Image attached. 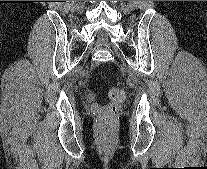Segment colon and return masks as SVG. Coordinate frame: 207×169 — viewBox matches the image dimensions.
<instances>
[{"label":"colon","mask_w":207,"mask_h":169,"mask_svg":"<svg viewBox=\"0 0 207 169\" xmlns=\"http://www.w3.org/2000/svg\"><path fill=\"white\" fill-rule=\"evenodd\" d=\"M124 91L119 87H112L109 90L110 103L102 109H97L100 115L98 123L99 133L103 137L110 136L113 131V121L120 103L124 100Z\"/></svg>","instance_id":"colon-1"}]
</instances>
